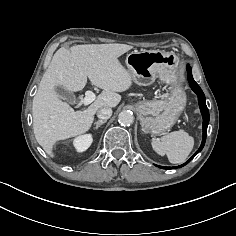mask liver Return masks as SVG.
<instances>
[{
    "label": "liver",
    "instance_id": "1",
    "mask_svg": "<svg viewBox=\"0 0 236 236\" xmlns=\"http://www.w3.org/2000/svg\"><path fill=\"white\" fill-rule=\"evenodd\" d=\"M133 47L127 44H82L61 47L54 54L33 99L34 135L39 145L54 158L53 147L59 140L86 133L95 113L103 107H116L119 92L128 90L132 76L118 58ZM87 78L103 92L83 111H74L61 100L55 87L70 92L82 90Z\"/></svg>",
    "mask_w": 236,
    "mask_h": 236
}]
</instances>
